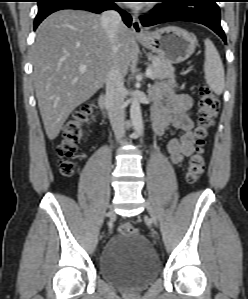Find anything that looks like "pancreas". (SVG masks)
I'll return each instance as SVG.
<instances>
[{"label":"pancreas","instance_id":"cf45deb5","mask_svg":"<svg viewBox=\"0 0 248 299\" xmlns=\"http://www.w3.org/2000/svg\"><path fill=\"white\" fill-rule=\"evenodd\" d=\"M150 69L153 71L152 80L168 79L170 84H175L174 67L171 63L159 56L152 57Z\"/></svg>","mask_w":248,"mask_h":299}]
</instances>
